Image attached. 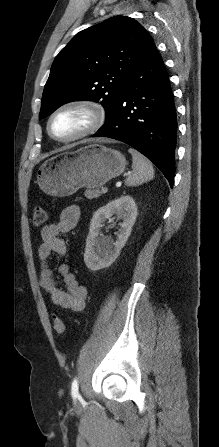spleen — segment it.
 Returning a JSON list of instances; mask_svg holds the SVG:
<instances>
[{"label":"spleen","instance_id":"spleen-1","mask_svg":"<svg viewBox=\"0 0 219 447\" xmlns=\"http://www.w3.org/2000/svg\"><path fill=\"white\" fill-rule=\"evenodd\" d=\"M129 153L132 155L133 173L128 175L125 180L127 186H137L154 177V169L152 163L141 153L130 148Z\"/></svg>","mask_w":219,"mask_h":447}]
</instances>
